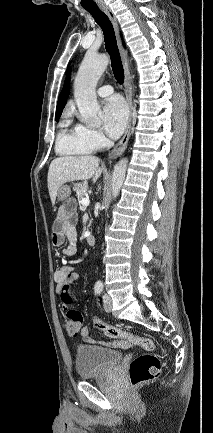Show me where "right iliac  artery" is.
<instances>
[{
    "mask_svg": "<svg viewBox=\"0 0 213 433\" xmlns=\"http://www.w3.org/2000/svg\"><path fill=\"white\" fill-rule=\"evenodd\" d=\"M94 291H95V295H99L102 291V287H99V286L95 287Z\"/></svg>",
    "mask_w": 213,
    "mask_h": 433,
    "instance_id": "82829eb1",
    "label": "right iliac artery"
}]
</instances>
